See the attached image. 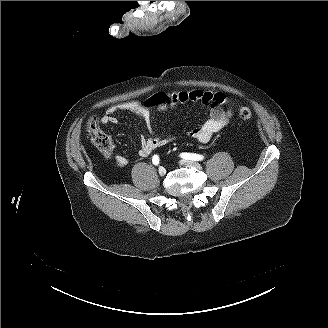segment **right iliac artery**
Instances as JSON below:
<instances>
[{
    "instance_id": "1",
    "label": "right iliac artery",
    "mask_w": 328,
    "mask_h": 328,
    "mask_svg": "<svg viewBox=\"0 0 328 328\" xmlns=\"http://www.w3.org/2000/svg\"><path fill=\"white\" fill-rule=\"evenodd\" d=\"M152 162L154 165H158L159 164V156L158 155H154L152 158Z\"/></svg>"
}]
</instances>
